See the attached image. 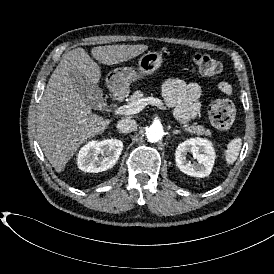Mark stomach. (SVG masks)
<instances>
[{
    "mask_svg": "<svg viewBox=\"0 0 274 274\" xmlns=\"http://www.w3.org/2000/svg\"><path fill=\"white\" fill-rule=\"evenodd\" d=\"M164 63L163 53L149 50L138 60L137 68L130 71L113 70L106 79V86L112 93L122 95L132 82H139L158 71Z\"/></svg>",
    "mask_w": 274,
    "mask_h": 274,
    "instance_id": "0dacf381",
    "label": "stomach"
}]
</instances>
